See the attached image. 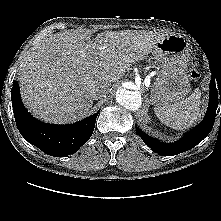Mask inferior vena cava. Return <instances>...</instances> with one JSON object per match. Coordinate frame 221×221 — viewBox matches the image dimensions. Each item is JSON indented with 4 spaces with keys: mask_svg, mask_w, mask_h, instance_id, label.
<instances>
[{
    "mask_svg": "<svg viewBox=\"0 0 221 221\" xmlns=\"http://www.w3.org/2000/svg\"><path fill=\"white\" fill-rule=\"evenodd\" d=\"M107 93L108 88L106 86H101L95 89L93 96L95 99H100L102 97H105Z\"/></svg>",
    "mask_w": 221,
    "mask_h": 221,
    "instance_id": "inferior-vena-cava-1",
    "label": "inferior vena cava"
}]
</instances>
